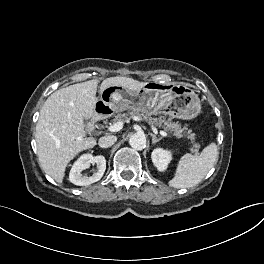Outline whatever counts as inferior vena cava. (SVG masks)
I'll return each mask as SVG.
<instances>
[{
    "instance_id": "602c4592",
    "label": "inferior vena cava",
    "mask_w": 264,
    "mask_h": 264,
    "mask_svg": "<svg viewBox=\"0 0 264 264\" xmlns=\"http://www.w3.org/2000/svg\"><path fill=\"white\" fill-rule=\"evenodd\" d=\"M117 141V137L113 135L103 136L99 139L98 144L101 148H108Z\"/></svg>"
}]
</instances>
